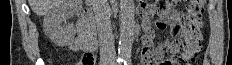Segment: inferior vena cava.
Wrapping results in <instances>:
<instances>
[{"mask_svg":"<svg viewBox=\"0 0 232 65\" xmlns=\"http://www.w3.org/2000/svg\"><path fill=\"white\" fill-rule=\"evenodd\" d=\"M98 30L100 54L102 60L115 61L116 51L110 21L108 0H92Z\"/></svg>","mask_w":232,"mask_h":65,"instance_id":"inferior-vena-cava-1","label":"inferior vena cava"}]
</instances>
